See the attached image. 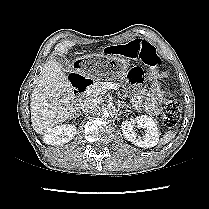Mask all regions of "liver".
Returning <instances> with one entry per match:
<instances>
[{"instance_id":"liver-1","label":"liver","mask_w":209,"mask_h":209,"mask_svg":"<svg viewBox=\"0 0 209 209\" xmlns=\"http://www.w3.org/2000/svg\"><path fill=\"white\" fill-rule=\"evenodd\" d=\"M74 45L75 42L69 40L56 45L32 92L31 122L38 134H45L57 124L71 119L78 109L73 103V87L63 67L54 58L67 54Z\"/></svg>"}]
</instances>
